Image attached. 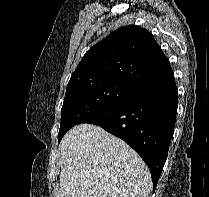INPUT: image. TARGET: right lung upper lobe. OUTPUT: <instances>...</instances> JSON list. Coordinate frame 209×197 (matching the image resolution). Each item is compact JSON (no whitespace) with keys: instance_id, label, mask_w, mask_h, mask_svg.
I'll use <instances>...</instances> for the list:
<instances>
[{"instance_id":"cb5924a9","label":"right lung upper lobe","mask_w":209,"mask_h":197,"mask_svg":"<svg viewBox=\"0 0 209 197\" xmlns=\"http://www.w3.org/2000/svg\"><path fill=\"white\" fill-rule=\"evenodd\" d=\"M172 72L152 34L129 25L119 28L90 48L68 83L116 80L136 89Z\"/></svg>"}]
</instances>
